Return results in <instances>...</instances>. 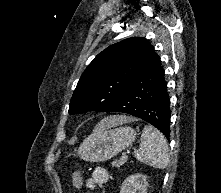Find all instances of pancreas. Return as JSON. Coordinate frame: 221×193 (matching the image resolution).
<instances>
[{
    "mask_svg": "<svg viewBox=\"0 0 221 193\" xmlns=\"http://www.w3.org/2000/svg\"><path fill=\"white\" fill-rule=\"evenodd\" d=\"M127 161L126 157H122L119 160H115L112 162L113 167H120Z\"/></svg>",
    "mask_w": 221,
    "mask_h": 193,
    "instance_id": "pancreas-1",
    "label": "pancreas"
}]
</instances>
